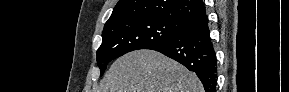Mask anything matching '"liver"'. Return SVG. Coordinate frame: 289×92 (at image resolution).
I'll return each instance as SVG.
<instances>
[{
  "label": "liver",
  "instance_id": "6515ba94",
  "mask_svg": "<svg viewBox=\"0 0 289 92\" xmlns=\"http://www.w3.org/2000/svg\"><path fill=\"white\" fill-rule=\"evenodd\" d=\"M101 92H204L197 75L149 49L118 58L106 73Z\"/></svg>",
  "mask_w": 289,
  "mask_h": 92
}]
</instances>
